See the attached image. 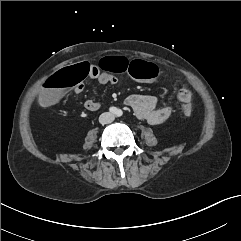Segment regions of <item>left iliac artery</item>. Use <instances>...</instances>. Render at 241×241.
Listing matches in <instances>:
<instances>
[{"label":"left iliac artery","mask_w":241,"mask_h":241,"mask_svg":"<svg viewBox=\"0 0 241 241\" xmlns=\"http://www.w3.org/2000/svg\"><path fill=\"white\" fill-rule=\"evenodd\" d=\"M117 115H118V116H121V115H122V111H121V110H118V111H117Z\"/></svg>","instance_id":"1"}]
</instances>
